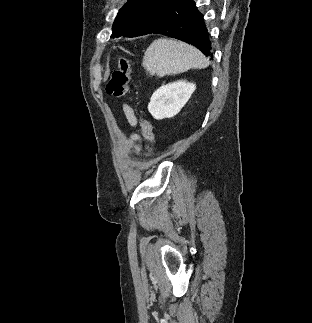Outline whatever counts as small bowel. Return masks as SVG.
<instances>
[{"mask_svg":"<svg viewBox=\"0 0 312 323\" xmlns=\"http://www.w3.org/2000/svg\"><path fill=\"white\" fill-rule=\"evenodd\" d=\"M122 111L125 116V119L129 126L136 127L137 125V118L135 112L131 106L124 103L122 105ZM140 142V137L136 133H131L128 138L125 140V147L126 148H133Z\"/></svg>","mask_w":312,"mask_h":323,"instance_id":"1","label":"small bowel"}]
</instances>
